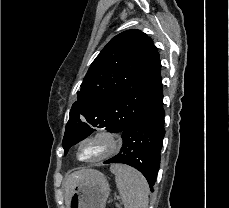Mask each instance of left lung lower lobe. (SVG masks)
<instances>
[{"label":"left lung lower lobe","mask_w":229,"mask_h":208,"mask_svg":"<svg viewBox=\"0 0 229 208\" xmlns=\"http://www.w3.org/2000/svg\"><path fill=\"white\" fill-rule=\"evenodd\" d=\"M163 96L138 115L122 132V150L104 163H124L139 170L151 191L160 167V153L165 136Z\"/></svg>","instance_id":"1"}]
</instances>
